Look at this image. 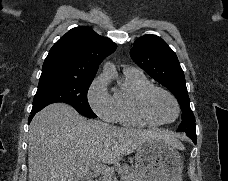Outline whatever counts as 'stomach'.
I'll return each instance as SVG.
<instances>
[{"label": "stomach", "instance_id": "stomach-1", "mask_svg": "<svg viewBox=\"0 0 228 181\" xmlns=\"http://www.w3.org/2000/svg\"><path fill=\"white\" fill-rule=\"evenodd\" d=\"M135 169L141 181H182L179 151L159 137L135 149Z\"/></svg>", "mask_w": 228, "mask_h": 181}]
</instances>
